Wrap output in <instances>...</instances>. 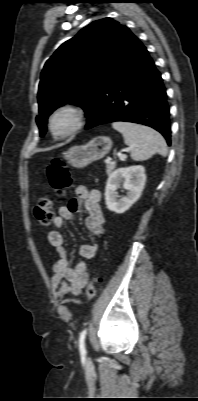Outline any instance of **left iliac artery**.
Wrapping results in <instances>:
<instances>
[{
    "mask_svg": "<svg viewBox=\"0 0 198 401\" xmlns=\"http://www.w3.org/2000/svg\"><path fill=\"white\" fill-rule=\"evenodd\" d=\"M87 333V329H84L81 333H80V337H79V350L81 354H85L86 353V348H85V336Z\"/></svg>",
    "mask_w": 198,
    "mask_h": 401,
    "instance_id": "44dca946",
    "label": "left iliac artery"
}]
</instances>
